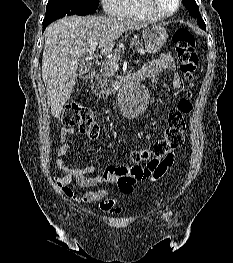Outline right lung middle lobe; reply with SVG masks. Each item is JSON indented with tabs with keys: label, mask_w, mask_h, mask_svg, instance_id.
<instances>
[{
	"label": "right lung middle lobe",
	"mask_w": 233,
	"mask_h": 263,
	"mask_svg": "<svg viewBox=\"0 0 233 263\" xmlns=\"http://www.w3.org/2000/svg\"><path fill=\"white\" fill-rule=\"evenodd\" d=\"M99 0H49L44 21L52 22L66 15L95 13Z\"/></svg>",
	"instance_id": "right-lung-middle-lobe-1"
}]
</instances>
